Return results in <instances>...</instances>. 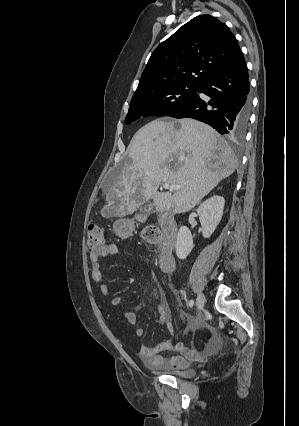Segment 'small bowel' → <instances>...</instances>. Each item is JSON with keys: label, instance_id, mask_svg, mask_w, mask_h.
Here are the masks:
<instances>
[{"label": "small bowel", "instance_id": "small-bowel-1", "mask_svg": "<svg viewBox=\"0 0 299 426\" xmlns=\"http://www.w3.org/2000/svg\"><path fill=\"white\" fill-rule=\"evenodd\" d=\"M118 252V246L115 243H106L105 245L95 249L89 255L91 276L92 279L100 283V292L103 296H108L109 286L103 282V270L100 263V259L109 255H115ZM122 296H115L111 300L113 306H118L122 303ZM123 316L128 323L134 325L137 322V317L133 312H124ZM180 317L183 319L186 325H191V320L186 316L184 312L180 313ZM162 322L165 324L170 335L174 334V325L165 316H162ZM145 333L143 327L138 326L135 329V334L138 337H142ZM212 343H207L202 350H198L195 347H187L183 343H176L172 338L158 343L155 346L143 345L139 349V357L142 359L144 364L151 368H172V369H185L189 366L191 361L199 360L204 354L210 351ZM174 350L177 352L174 356L161 355L164 351Z\"/></svg>", "mask_w": 299, "mask_h": 426}]
</instances>
